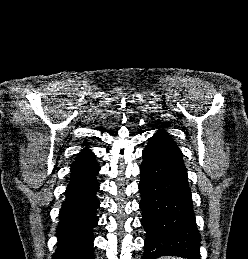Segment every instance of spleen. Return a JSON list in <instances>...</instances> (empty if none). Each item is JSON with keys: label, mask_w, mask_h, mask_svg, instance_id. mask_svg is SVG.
<instances>
[{"label": "spleen", "mask_w": 248, "mask_h": 259, "mask_svg": "<svg viewBox=\"0 0 248 259\" xmlns=\"http://www.w3.org/2000/svg\"><path fill=\"white\" fill-rule=\"evenodd\" d=\"M164 259H182V258L168 257V258H164Z\"/></svg>", "instance_id": "3e777b00"}]
</instances>
